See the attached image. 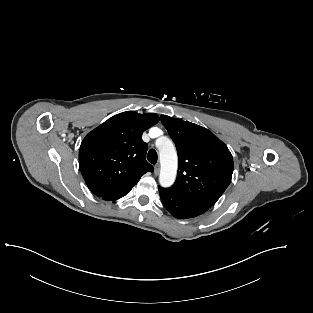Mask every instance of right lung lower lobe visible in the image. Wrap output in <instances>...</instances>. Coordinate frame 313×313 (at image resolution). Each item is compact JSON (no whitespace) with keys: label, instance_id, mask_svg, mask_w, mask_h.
<instances>
[{"label":"right lung lower lobe","instance_id":"98d812e1","mask_svg":"<svg viewBox=\"0 0 313 313\" xmlns=\"http://www.w3.org/2000/svg\"><path fill=\"white\" fill-rule=\"evenodd\" d=\"M132 187H127L125 189H122V190H119V191L107 194V195H105V196H103L101 198H103L104 200H107V201L117 200V199L125 196L126 194H128L131 191Z\"/></svg>","mask_w":313,"mask_h":313}]
</instances>
